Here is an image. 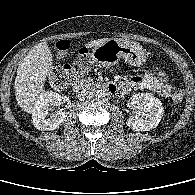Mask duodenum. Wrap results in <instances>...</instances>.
Segmentation results:
<instances>
[{
	"label": "duodenum",
	"mask_w": 195,
	"mask_h": 195,
	"mask_svg": "<svg viewBox=\"0 0 195 195\" xmlns=\"http://www.w3.org/2000/svg\"><path fill=\"white\" fill-rule=\"evenodd\" d=\"M92 86L93 83L90 80H81L77 84H75L73 90L76 93H81ZM103 88L111 94H115L117 92V87L113 83L105 84L103 85Z\"/></svg>",
	"instance_id": "obj_1"
}]
</instances>
